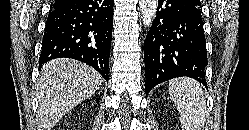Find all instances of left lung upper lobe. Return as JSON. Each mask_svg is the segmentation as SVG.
Masks as SVG:
<instances>
[{"label":"left lung upper lobe","instance_id":"1","mask_svg":"<svg viewBox=\"0 0 249 130\" xmlns=\"http://www.w3.org/2000/svg\"><path fill=\"white\" fill-rule=\"evenodd\" d=\"M190 2H192L193 4H195L198 7H201V2L200 0H189Z\"/></svg>","mask_w":249,"mask_h":130}]
</instances>
